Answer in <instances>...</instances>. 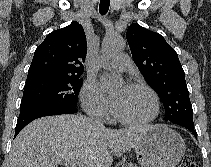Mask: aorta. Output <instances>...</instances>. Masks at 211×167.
Returning <instances> with one entry per match:
<instances>
[{
    "instance_id": "1",
    "label": "aorta",
    "mask_w": 211,
    "mask_h": 167,
    "mask_svg": "<svg viewBox=\"0 0 211 167\" xmlns=\"http://www.w3.org/2000/svg\"><path fill=\"white\" fill-rule=\"evenodd\" d=\"M125 45V40L121 36L109 35L102 43L101 55L103 58H110L112 55L122 51ZM102 78L105 83L111 86L118 85L122 82L121 77L108 73H105Z\"/></svg>"
}]
</instances>
